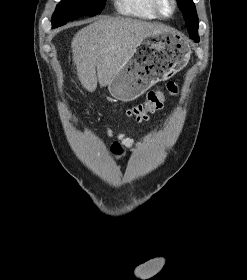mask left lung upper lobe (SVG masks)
Here are the masks:
<instances>
[{
	"instance_id": "obj_1",
	"label": "left lung upper lobe",
	"mask_w": 247,
	"mask_h": 280,
	"mask_svg": "<svg viewBox=\"0 0 247 280\" xmlns=\"http://www.w3.org/2000/svg\"><path fill=\"white\" fill-rule=\"evenodd\" d=\"M178 4L184 16L186 26L190 37L197 40L199 21L196 13V8L192 0H178Z\"/></svg>"
}]
</instances>
